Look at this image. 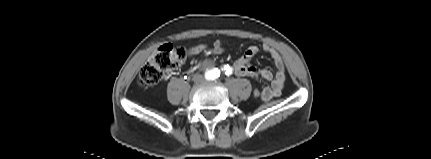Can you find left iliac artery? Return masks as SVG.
I'll use <instances>...</instances> for the list:
<instances>
[{"instance_id":"left-iliac-artery-1","label":"left iliac artery","mask_w":431,"mask_h":159,"mask_svg":"<svg viewBox=\"0 0 431 159\" xmlns=\"http://www.w3.org/2000/svg\"><path fill=\"white\" fill-rule=\"evenodd\" d=\"M224 70H225V74L228 75V76L232 73L231 69H230V67L228 65L224 67ZM218 76H219L218 73H214L212 79L217 78Z\"/></svg>"}]
</instances>
